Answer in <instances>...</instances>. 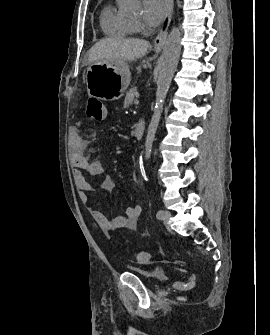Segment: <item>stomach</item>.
Segmentation results:
<instances>
[{
  "label": "stomach",
  "instance_id": "stomach-1",
  "mask_svg": "<svg viewBox=\"0 0 270 335\" xmlns=\"http://www.w3.org/2000/svg\"><path fill=\"white\" fill-rule=\"evenodd\" d=\"M161 48H155L160 52ZM87 92L97 100H119L131 82V72L127 60L92 62L85 74Z\"/></svg>",
  "mask_w": 270,
  "mask_h": 335
}]
</instances>
